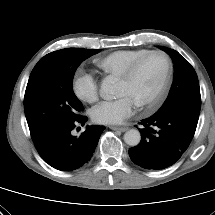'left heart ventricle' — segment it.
<instances>
[{"label":"left heart ventricle","mask_w":215,"mask_h":215,"mask_svg":"<svg viewBox=\"0 0 215 215\" xmlns=\"http://www.w3.org/2000/svg\"><path fill=\"white\" fill-rule=\"evenodd\" d=\"M166 62L160 55L147 57L128 81L119 80L118 95H129L136 104L149 100L162 83Z\"/></svg>","instance_id":"1"}]
</instances>
